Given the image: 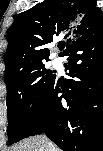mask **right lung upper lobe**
Here are the masks:
<instances>
[{
  "label": "right lung upper lobe",
  "instance_id": "1",
  "mask_svg": "<svg viewBox=\"0 0 103 151\" xmlns=\"http://www.w3.org/2000/svg\"><path fill=\"white\" fill-rule=\"evenodd\" d=\"M95 10L90 0H44L18 14L7 33L5 81L28 66L48 60L50 51L44 46L56 36L67 38L68 49L85 33L101 27L93 15Z\"/></svg>",
  "mask_w": 103,
  "mask_h": 151
}]
</instances>
